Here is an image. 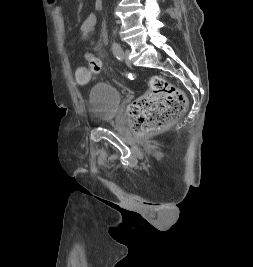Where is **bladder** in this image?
<instances>
[{"label": "bladder", "instance_id": "31cf9c89", "mask_svg": "<svg viewBox=\"0 0 253 267\" xmlns=\"http://www.w3.org/2000/svg\"><path fill=\"white\" fill-rule=\"evenodd\" d=\"M120 92L111 84L100 82L93 85L87 96V109L91 119L96 123H109L117 115Z\"/></svg>", "mask_w": 253, "mask_h": 267}]
</instances>
